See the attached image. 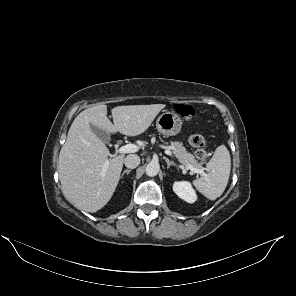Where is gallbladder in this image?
Here are the masks:
<instances>
[{
	"label": "gallbladder",
	"instance_id": "1",
	"mask_svg": "<svg viewBox=\"0 0 296 296\" xmlns=\"http://www.w3.org/2000/svg\"><path fill=\"white\" fill-rule=\"evenodd\" d=\"M92 131L104 142L108 143L110 141V135L95 126H91Z\"/></svg>",
	"mask_w": 296,
	"mask_h": 296
}]
</instances>
